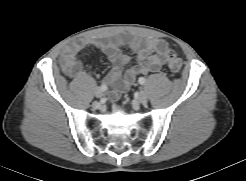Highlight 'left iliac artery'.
Masks as SVG:
<instances>
[{
  "mask_svg": "<svg viewBox=\"0 0 246 181\" xmlns=\"http://www.w3.org/2000/svg\"><path fill=\"white\" fill-rule=\"evenodd\" d=\"M139 84L144 85L146 83V79L144 77H140L138 79Z\"/></svg>",
  "mask_w": 246,
  "mask_h": 181,
  "instance_id": "left-iliac-artery-1",
  "label": "left iliac artery"
}]
</instances>
